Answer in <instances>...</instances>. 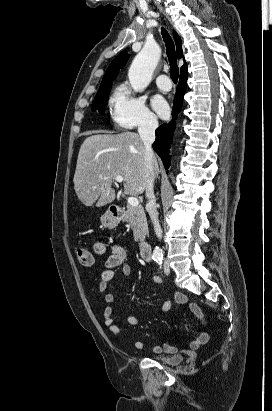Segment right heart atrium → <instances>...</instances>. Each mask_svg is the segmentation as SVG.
Listing matches in <instances>:
<instances>
[{"mask_svg": "<svg viewBox=\"0 0 272 411\" xmlns=\"http://www.w3.org/2000/svg\"><path fill=\"white\" fill-rule=\"evenodd\" d=\"M108 107L111 121L118 128L151 129L157 125V119L146 106L144 99L137 96L127 84L115 88L109 98Z\"/></svg>", "mask_w": 272, "mask_h": 411, "instance_id": "obj_1", "label": "right heart atrium"}]
</instances>
